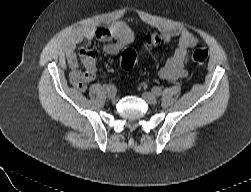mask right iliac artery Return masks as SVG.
Here are the masks:
<instances>
[{
	"label": "right iliac artery",
	"instance_id": "right-iliac-artery-1",
	"mask_svg": "<svg viewBox=\"0 0 251 192\" xmlns=\"http://www.w3.org/2000/svg\"><path fill=\"white\" fill-rule=\"evenodd\" d=\"M105 90L107 93L115 92L116 93V86L114 84H109L105 86Z\"/></svg>",
	"mask_w": 251,
	"mask_h": 192
}]
</instances>
